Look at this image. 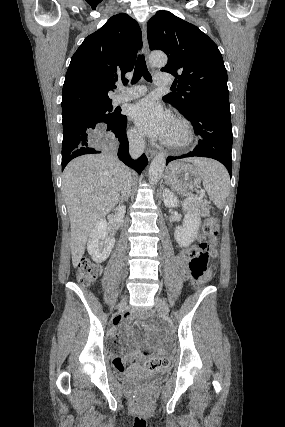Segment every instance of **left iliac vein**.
Here are the masks:
<instances>
[{
  "mask_svg": "<svg viewBox=\"0 0 285 427\" xmlns=\"http://www.w3.org/2000/svg\"><path fill=\"white\" fill-rule=\"evenodd\" d=\"M155 305H156V309L158 310L159 313H161L163 315L168 314L167 305L161 298H159V297L155 298Z\"/></svg>",
  "mask_w": 285,
  "mask_h": 427,
  "instance_id": "obj_1",
  "label": "left iliac vein"
}]
</instances>
